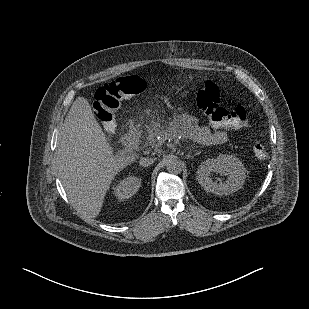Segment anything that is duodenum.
Wrapping results in <instances>:
<instances>
[{
	"instance_id": "410a0bca",
	"label": "duodenum",
	"mask_w": 309,
	"mask_h": 309,
	"mask_svg": "<svg viewBox=\"0 0 309 309\" xmlns=\"http://www.w3.org/2000/svg\"><path fill=\"white\" fill-rule=\"evenodd\" d=\"M141 137V131L137 126L130 127L123 136V146L132 149L136 146Z\"/></svg>"
}]
</instances>
